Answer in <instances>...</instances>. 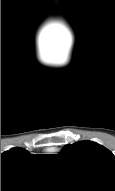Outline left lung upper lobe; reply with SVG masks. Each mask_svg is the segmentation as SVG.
Returning a JSON list of instances; mask_svg holds the SVG:
<instances>
[{
    "instance_id": "5c2ea615",
    "label": "left lung upper lobe",
    "mask_w": 115,
    "mask_h": 191,
    "mask_svg": "<svg viewBox=\"0 0 115 191\" xmlns=\"http://www.w3.org/2000/svg\"><path fill=\"white\" fill-rule=\"evenodd\" d=\"M61 154L89 163H107L115 161V157L111 151L93 141H79L65 145Z\"/></svg>"
}]
</instances>
